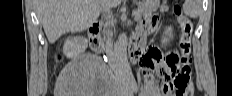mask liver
Here are the masks:
<instances>
[{
	"instance_id": "6515ba94",
	"label": "liver",
	"mask_w": 232,
	"mask_h": 96,
	"mask_svg": "<svg viewBox=\"0 0 232 96\" xmlns=\"http://www.w3.org/2000/svg\"><path fill=\"white\" fill-rule=\"evenodd\" d=\"M119 0H36V12L50 43L63 34L82 32L99 17L101 9Z\"/></svg>"
}]
</instances>
